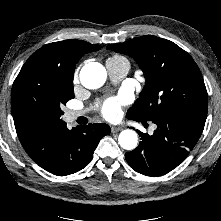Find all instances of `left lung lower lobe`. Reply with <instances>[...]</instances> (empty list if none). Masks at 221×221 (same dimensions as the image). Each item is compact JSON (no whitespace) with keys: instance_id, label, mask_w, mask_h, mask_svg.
<instances>
[{"instance_id":"1","label":"left lung lower lobe","mask_w":221,"mask_h":221,"mask_svg":"<svg viewBox=\"0 0 221 221\" xmlns=\"http://www.w3.org/2000/svg\"><path fill=\"white\" fill-rule=\"evenodd\" d=\"M127 118L145 121L132 116ZM152 122L157 125L154 134L149 136L138 131L142 141L125 157L136 172L146 176H161L184 161L202 134L205 121L193 116H179Z\"/></svg>"}]
</instances>
